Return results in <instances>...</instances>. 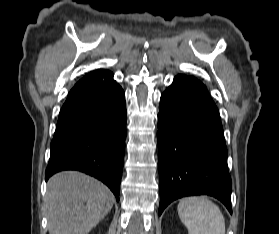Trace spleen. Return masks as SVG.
Wrapping results in <instances>:
<instances>
[{
	"instance_id": "1",
	"label": "spleen",
	"mask_w": 279,
	"mask_h": 234,
	"mask_svg": "<svg viewBox=\"0 0 279 234\" xmlns=\"http://www.w3.org/2000/svg\"><path fill=\"white\" fill-rule=\"evenodd\" d=\"M178 215L188 234H225L219 207L205 197H188L178 204Z\"/></svg>"
}]
</instances>
